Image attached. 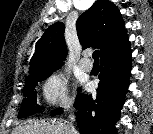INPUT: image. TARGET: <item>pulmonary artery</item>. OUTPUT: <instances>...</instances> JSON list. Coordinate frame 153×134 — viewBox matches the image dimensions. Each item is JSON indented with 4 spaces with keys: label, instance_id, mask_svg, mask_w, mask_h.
Here are the masks:
<instances>
[{
    "label": "pulmonary artery",
    "instance_id": "1",
    "mask_svg": "<svg viewBox=\"0 0 153 134\" xmlns=\"http://www.w3.org/2000/svg\"><path fill=\"white\" fill-rule=\"evenodd\" d=\"M89 55V52H85L79 63L81 69H83L84 71H90L93 67V63L89 59Z\"/></svg>",
    "mask_w": 153,
    "mask_h": 134
}]
</instances>
